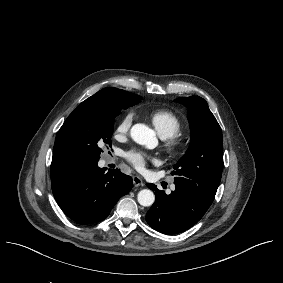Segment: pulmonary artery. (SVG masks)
<instances>
[{"instance_id": "e3ab8cb5", "label": "pulmonary artery", "mask_w": 283, "mask_h": 283, "mask_svg": "<svg viewBox=\"0 0 283 283\" xmlns=\"http://www.w3.org/2000/svg\"><path fill=\"white\" fill-rule=\"evenodd\" d=\"M174 190H175V185H174V184H172V185L170 186L169 191H174Z\"/></svg>"}]
</instances>
